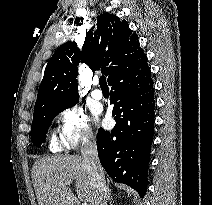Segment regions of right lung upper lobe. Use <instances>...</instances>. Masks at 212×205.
Segmentation results:
<instances>
[{
	"instance_id": "1",
	"label": "right lung upper lobe",
	"mask_w": 212,
	"mask_h": 205,
	"mask_svg": "<svg viewBox=\"0 0 212 205\" xmlns=\"http://www.w3.org/2000/svg\"><path fill=\"white\" fill-rule=\"evenodd\" d=\"M142 55L138 36L127 22L112 14H101L87 32L82 51L76 42H66L55 51L45 68L34 110L79 101L76 78L80 60L92 70L101 68L109 81L118 70Z\"/></svg>"
}]
</instances>
